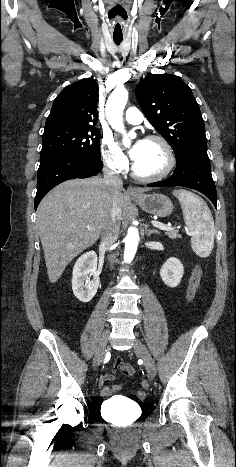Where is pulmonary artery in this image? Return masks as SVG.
Wrapping results in <instances>:
<instances>
[{
    "instance_id": "pulmonary-artery-1",
    "label": "pulmonary artery",
    "mask_w": 236,
    "mask_h": 467,
    "mask_svg": "<svg viewBox=\"0 0 236 467\" xmlns=\"http://www.w3.org/2000/svg\"><path fill=\"white\" fill-rule=\"evenodd\" d=\"M125 119L130 124H140L143 121V114L136 107H129L125 112Z\"/></svg>"
}]
</instances>
